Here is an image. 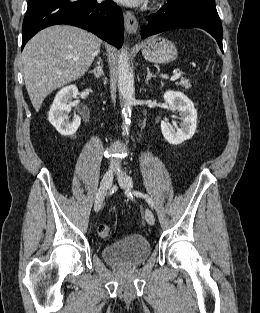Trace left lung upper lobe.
I'll use <instances>...</instances> for the list:
<instances>
[{"label": "left lung upper lobe", "instance_id": "5c2ea615", "mask_svg": "<svg viewBox=\"0 0 260 313\" xmlns=\"http://www.w3.org/2000/svg\"><path fill=\"white\" fill-rule=\"evenodd\" d=\"M179 2H187V3H202L210 6H215V0H174Z\"/></svg>", "mask_w": 260, "mask_h": 313}]
</instances>
